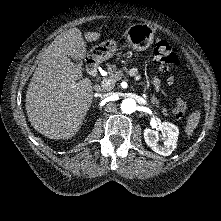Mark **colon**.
<instances>
[{
    "label": "colon",
    "instance_id": "5ec220e1",
    "mask_svg": "<svg viewBox=\"0 0 221 221\" xmlns=\"http://www.w3.org/2000/svg\"><path fill=\"white\" fill-rule=\"evenodd\" d=\"M153 58L164 70L178 71L182 68V61L178 54L164 39L156 40L153 48ZM185 111L186 101L183 97H178L174 106V114L177 118H182Z\"/></svg>",
    "mask_w": 221,
    "mask_h": 221
}]
</instances>
